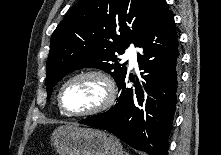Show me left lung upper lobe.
Here are the masks:
<instances>
[{
	"label": "left lung upper lobe",
	"instance_id": "5c2ea615",
	"mask_svg": "<svg viewBox=\"0 0 221 155\" xmlns=\"http://www.w3.org/2000/svg\"><path fill=\"white\" fill-rule=\"evenodd\" d=\"M165 0H79L66 13L51 37L46 88L50 99L53 86L76 69L92 67L112 75L117 85L126 77L123 54L135 46Z\"/></svg>",
	"mask_w": 221,
	"mask_h": 155
}]
</instances>
